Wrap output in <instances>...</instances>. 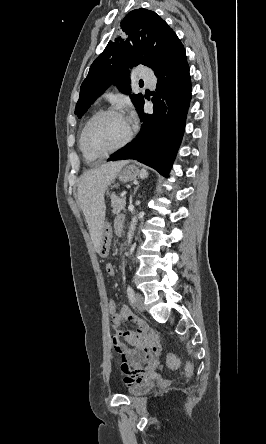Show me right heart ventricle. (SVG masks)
<instances>
[{"label":"right heart ventricle","mask_w":266,"mask_h":444,"mask_svg":"<svg viewBox=\"0 0 266 444\" xmlns=\"http://www.w3.org/2000/svg\"><path fill=\"white\" fill-rule=\"evenodd\" d=\"M79 146H80V139H79ZM80 149H81V146H80ZM81 151H82L84 157H85L86 159H88V160H97V159L100 158V157H98V156H90V155L84 153L82 149H81Z\"/></svg>","instance_id":"right-heart-ventricle-1"}]
</instances>
